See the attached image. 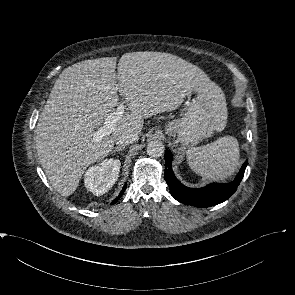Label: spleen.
<instances>
[{
  "label": "spleen",
  "instance_id": "obj_1",
  "mask_svg": "<svg viewBox=\"0 0 295 295\" xmlns=\"http://www.w3.org/2000/svg\"><path fill=\"white\" fill-rule=\"evenodd\" d=\"M190 168L202 177L224 180L239 165V145L235 137L224 136L216 141L192 147L186 152Z\"/></svg>",
  "mask_w": 295,
  "mask_h": 295
}]
</instances>
